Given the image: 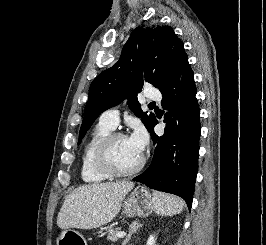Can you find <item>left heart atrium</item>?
I'll return each mask as SVG.
<instances>
[{
    "label": "left heart atrium",
    "instance_id": "left-heart-atrium-1",
    "mask_svg": "<svg viewBox=\"0 0 266 245\" xmlns=\"http://www.w3.org/2000/svg\"><path fill=\"white\" fill-rule=\"evenodd\" d=\"M131 148L141 156L147 143L145 131L140 126H134L131 134L126 137Z\"/></svg>",
    "mask_w": 266,
    "mask_h": 245
}]
</instances>
